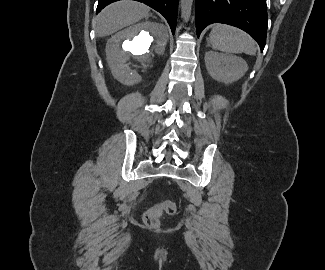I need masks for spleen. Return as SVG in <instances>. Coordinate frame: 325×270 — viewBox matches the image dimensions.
Listing matches in <instances>:
<instances>
[{"label": "spleen", "instance_id": "3e777b00", "mask_svg": "<svg viewBox=\"0 0 325 270\" xmlns=\"http://www.w3.org/2000/svg\"><path fill=\"white\" fill-rule=\"evenodd\" d=\"M212 48L225 53L256 54L254 40L244 31L229 25L215 26L208 38Z\"/></svg>", "mask_w": 325, "mask_h": 270}]
</instances>
